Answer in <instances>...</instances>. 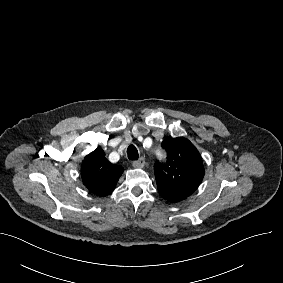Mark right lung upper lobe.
I'll list each match as a JSON object with an SVG mask.
<instances>
[{
  "mask_svg": "<svg viewBox=\"0 0 283 283\" xmlns=\"http://www.w3.org/2000/svg\"><path fill=\"white\" fill-rule=\"evenodd\" d=\"M122 173L123 168L110 163L101 147L87 155L81 165L83 184L100 197L112 193Z\"/></svg>",
  "mask_w": 283,
  "mask_h": 283,
  "instance_id": "cb5924a9",
  "label": "right lung upper lobe"
}]
</instances>
